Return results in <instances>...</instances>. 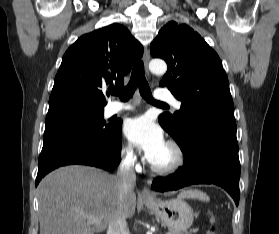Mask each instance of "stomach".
<instances>
[{
    "label": "stomach",
    "mask_w": 279,
    "mask_h": 234,
    "mask_svg": "<svg viewBox=\"0 0 279 234\" xmlns=\"http://www.w3.org/2000/svg\"><path fill=\"white\" fill-rule=\"evenodd\" d=\"M144 203L156 217L177 234L186 231L193 223V210L181 198L168 201L145 200Z\"/></svg>",
    "instance_id": "0dacf381"
}]
</instances>
